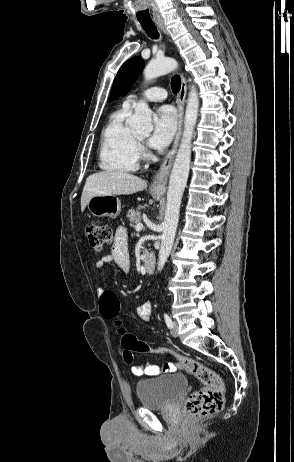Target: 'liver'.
Instances as JSON below:
<instances>
[{
	"label": "liver",
	"instance_id": "liver-1",
	"mask_svg": "<svg viewBox=\"0 0 294 462\" xmlns=\"http://www.w3.org/2000/svg\"><path fill=\"white\" fill-rule=\"evenodd\" d=\"M147 188V182L133 174L102 171L90 175L85 182L81 196L83 212L89 200L95 195H130Z\"/></svg>",
	"mask_w": 294,
	"mask_h": 462
}]
</instances>
